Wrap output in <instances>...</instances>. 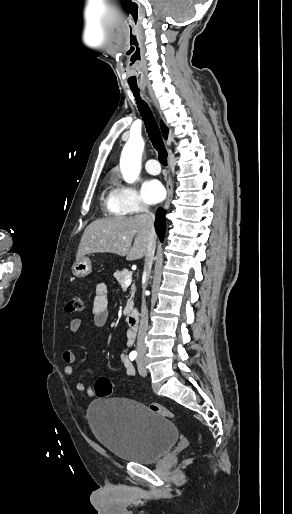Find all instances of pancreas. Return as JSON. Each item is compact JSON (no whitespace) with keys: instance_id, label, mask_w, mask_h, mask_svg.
<instances>
[{"instance_id":"cf45deb5","label":"pancreas","mask_w":292,"mask_h":514,"mask_svg":"<svg viewBox=\"0 0 292 514\" xmlns=\"http://www.w3.org/2000/svg\"><path fill=\"white\" fill-rule=\"evenodd\" d=\"M129 274H131V272H129V270H122V272H115L114 278H116L117 282H119V284H121V286H124L125 278H126V276H129ZM131 290H132L131 298H130V300H128L129 306H133V296H134L135 290H136L135 284H133ZM127 312H130V310H127Z\"/></svg>"}]
</instances>
